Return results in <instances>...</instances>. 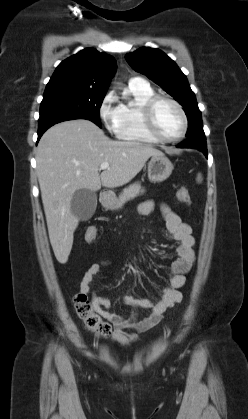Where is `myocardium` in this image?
<instances>
[{
	"label": "myocardium",
	"instance_id": "obj_1",
	"mask_svg": "<svg viewBox=\"0 0 248 419\" xmlns=\"http://www.w3.org/2000/svg\"><path fill=\"white\" fill-rule=\"evenodd\" d=\"M161 101H166L169 102L170 104H172L179 112L181 119H182V130L181 132L173 137V138H166L161 136L155 127V123H154V118H153V113H154V109L156 107V105L161 102ZM141 118H142V123H143V127L146 131V133L152 137L154 140H156L157 142H161V143H174L177 142L179 140H181L182 138H184V136L187 133L188 130V119H187V115L183 109V107L181 106V104L179 102H177L175 99L169 97V96H165V95H153L151 98H149L142 106L141 108Z\"/></svg>",
	"mask_w": 248,
	"mask_h": 419
}]
</instances>
